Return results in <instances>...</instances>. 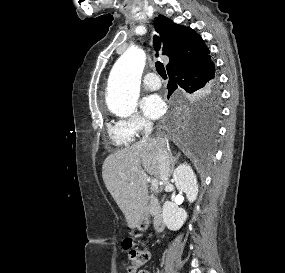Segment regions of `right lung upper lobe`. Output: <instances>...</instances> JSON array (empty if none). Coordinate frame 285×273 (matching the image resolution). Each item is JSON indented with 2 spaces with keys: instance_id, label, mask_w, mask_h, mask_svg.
<instances>
[{
  "instance_id": "cb5924a9",
  "label": "right lung upper lobe",
  "mask_w": 285,
  "mask_h": 273,
  "mask_svg": "<svg viewBox=\"0 0 285 273\" xmlns=\"http://www.w3.org/2000/svg\"><path fill=\"white\" fill-rule=\"evenodd\" d=\"M154 25L163 41V55L170 60L167 71L207 53L203 39L191 28L175 24L163 15L155 19Z\"/></svg>"
}]
</instances>
